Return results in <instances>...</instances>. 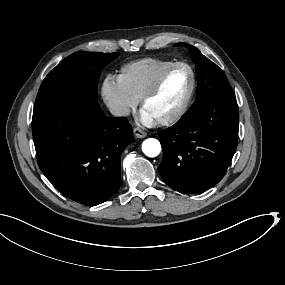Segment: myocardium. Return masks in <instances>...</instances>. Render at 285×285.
<instances>
[{"instance_id": "myocardium-1", "label": "myocardium", "mask_w": 285, "mask_h": 285, "mask_svg": "<svg viewBox=\"0 0 285 285\" xmlns=\"http://www.w3.org/2000/svg\"><path fill=\"white\" fill-rule=\"evenodd\" d=\"M175 73H188L190 75V87L183 104L175 112L158 119V122L160 124L164 125L172 124L178 121L188 110L190 103L192 101L193 92L195 88V78L193 72L190 69H187L186 67L182 66L171 67L167 69L158 78L155 84L152 87H150L148 90H146L143 93V95L140 97V105L143 108L144 105L148 102V100L156 93H158L165 84V82Z\"/></svg>"}]
</instances>
